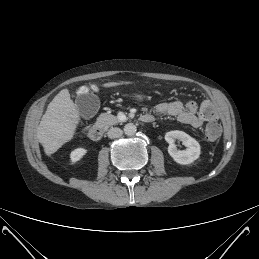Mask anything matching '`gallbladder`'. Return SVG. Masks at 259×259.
I'll list each match as a JSON object with an SVG mask.
<instances>
[{"label":"gallbladder","instance_id":"bac80fb5","mask_svg":"<svg viewBox=\"0 0 259 259\" xmlns=\"http://www.w3.org/2000/svg\"><path fill=\"white\" fill-rule=\"evenodd\" d=\"M81 115L86 120H91L95 117L96 111L100 107V101L97 95L90 93L82 96L77 100Z\"/></svg>","mask_w":259,"mask_h":259}]
</instances>
